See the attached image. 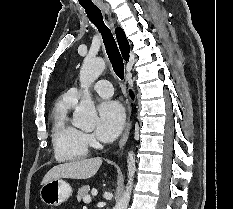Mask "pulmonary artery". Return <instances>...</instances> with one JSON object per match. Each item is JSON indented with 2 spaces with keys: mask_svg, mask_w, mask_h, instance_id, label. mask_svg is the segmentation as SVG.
Segmentation results:
<instances>
[{
  "mask_svg": "<svg viewBox=\"0 0 233 209\" xmlns=\"http://www.w3.org/2000/svg\"><path fill=\"white\" fill-rule=\"evenodd\" d=\"M93 91L101 97H110L113 95L112 84L108 80H99L93 87ZM68 93L76 100L81 96V92L77 88H71Z\"/></svg>",
  "mask_w": 233,
  "mask_h": 209,
  "instance_id": "pulmonary-artery-1",
  "label": "pulmonary artery"
}]
</instances>
